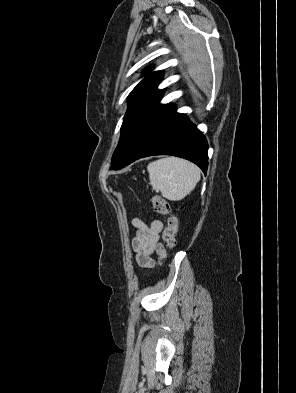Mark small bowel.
I'll return each instance as SVG.
<instances>
[{
	"label": "small bowel",
	"mask_w": 296,
	"mask_h": 393,
	"mask_svg": "<svg viewBox=\"0 0 296 393\" xmlns=\"http://www.w3.org/2000/svg\"><path fill=\"white\" fill-rule=\"evenodd\" d=\"M132 223L136 228V234L132 240L136 261L142 268H152L156 264L152 258L153 253L156 252L160 258L165 256V250L160 243L163 223L159 219H153L150 223H146L140 218L133 219Z\"/></svg>",
	"instance_id": "1"
}]
</instances>
